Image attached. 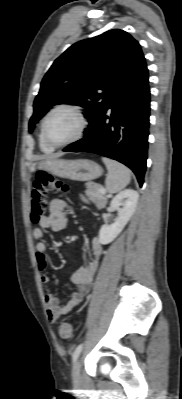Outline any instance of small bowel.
Here are the masks:
<instances>
[{"label":"small bowel","instance_id":"1","mask_svg":"<svg viewBox=\"0 0 182 399\" xmlns=\"http://www.w3.org/2000/svg\"><path fill=\"white\" fill-rule=\"evenodd\" d=\"M65 208L66 202L63 199H52L49 204L48 215L44 216L40 221V225L33 230V238L37 241L36 263L41 271L40 281L44 284L50 282L49 275L45 273L48 266L47 244L44 242L45 229L50 228L53 231H61L65 228ZM101 255L102 245L98 238H93L90 241V258L87 264L76 270L71 277L73 284L78 287V290L73 292L69 300L64 304H61L59 299L53 294L45 295L47 317L50 323L57 322L73 308L81 304L84 295L87 294L91 288Z\"/></svg>","mask_w":182,"mask_h":399}]
</instances>
